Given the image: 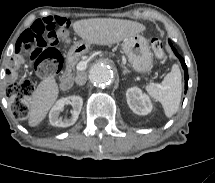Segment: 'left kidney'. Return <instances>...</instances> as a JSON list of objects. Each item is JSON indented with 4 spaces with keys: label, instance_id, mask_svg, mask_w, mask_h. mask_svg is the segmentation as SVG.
<instances>
[{
    "label": "left kidney",
    "instance_id": "left-kidney-1",
    "mask_svg": "<svg viewBox=\"0 0 215 183\" xmlns=\"http://www.w3.org/2000/svg\"><path fill=\"white\" fill-rule=\"evenodd\" d=\"M130 109L138 115H147L152 110L150 98L137 87L129 88L126 92Z\"/></svg>",
    "mask_w": 215,
    "mask_h": 183
}]
</instances>
